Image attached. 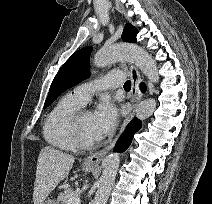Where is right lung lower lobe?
<instances>
[{"mask_svg": "<svg viewBox=\"0 0 212 204\" xmlns=\"http://www.w3.org/2000/svg\"><path fill=\"white\" fill-rule=\"evenodd\" d=\"M140 89L142 90V92H145L146 87H145L144 83H141V85H140Z\"/></svg>", "mask_w": 212, "mask_h": 204, "instance_id": "obj_1", "label": "right lung lower lobe"}]
</instances>
